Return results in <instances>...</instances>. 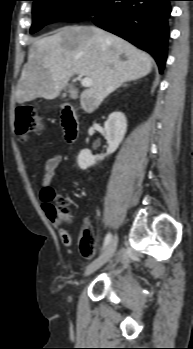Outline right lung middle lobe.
I'll list each match as a JSON object with an SVG mask.
<instances>
[{"label":"right lung middle lobe","instance_id":"right-lung-middle-lobe-1","mask_svg":"<svg viewBox=\"0 0 193 349\" xmlns=\"http://www.w3.org/2000/svg\"><path fill=\"white\" fill-rule=\"evenodd\" d=\"M33 24L30 33L58 22H75L87 18L101 0H32Z\"/></svg>","mask_w":193,"mask_h":349}]
</instances>
